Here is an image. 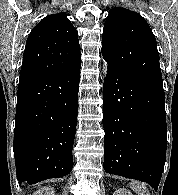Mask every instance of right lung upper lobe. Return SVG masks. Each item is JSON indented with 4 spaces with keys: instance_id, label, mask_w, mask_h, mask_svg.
I'll return each instance as SVG.
<instances>
[{
    "instance_id": "1",
    "label": "right lung upper lobe",
    "mask_w": 178,
    "mask_h": 195,
    "mask_svg": "<svg viewBox=\"0 0 178 195\" xmlns=\"http://www.w3.org/2000/svg\"><path fill=\"white\" fill-rule=\"evenodd\" d=\"M81 64L78 33L65 14L43 18L31 31L20 79L69 71Z\"/></svg>"
}]
</instances>
